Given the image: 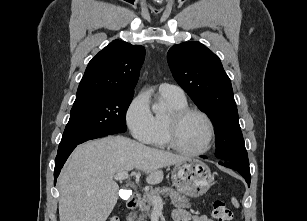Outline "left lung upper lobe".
<instances>
[{
	"instance_id": "5c2ea615",
	"label": "left lung upper lobe",
	"mask_w": 307,
	"mask_h": 221,
	"mask_svg": "<svg viewBox=\"0 0 307 221\" xmlns=\"http://www.w3.org/2000/svg\"><path fill=\"white\" fill-rule=\"evenodd\" d=\"M167 60L174 79L215 125L216 157L249 167L232 85L220 59L191 41L172 46Z\"/></svg>"
}]
</instances>
